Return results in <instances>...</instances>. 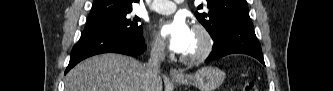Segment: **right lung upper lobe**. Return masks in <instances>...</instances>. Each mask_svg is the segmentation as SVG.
<instances>
[{
	"label": "right lung upper lobe",
	"instance_id": "right-lung-upper-lobe-1",
	"mask_svg": "<svg viewBox=\"0 0 333 91\" xmlns=\"http://www.w3.org/2000/svg\"><path fill=\"white\" fill-rule=\"evenodd\" d=\"M139 0H94L90 19L120 14L132 10V3Z\"/></svg>",
	"mask_w": 333,
	"mask_h": 91
}]
</instances>
